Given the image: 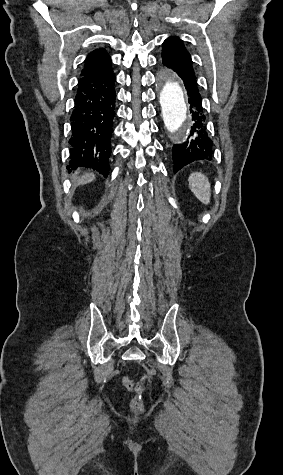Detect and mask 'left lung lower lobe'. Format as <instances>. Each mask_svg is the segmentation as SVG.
Segmentation results:
<instances>
[{
    "label": "left lung lower lobe",
    "mask_w": 283,
    "mask_h": 475,
    "mask_svg": "<svg viewBox=\"0 0 283 475\" xmlns=\"http://www.w3.org/2000/svg\"><path fill=\"white\" fill-rule=\"evenodd\" d=\"M162 62L168 68L173 69L183 80L187 90L190 114L193 121L187 141L174 145L172 149L174 173H176L183 166L193 161L212 160L213 142L207 130L206 116L201 104V95L192 67V61L169 59L166 56V52H163Z\"/></svg>",
    "instance_id": "left-lung-lower-lobe-1"
}]
</instances>
